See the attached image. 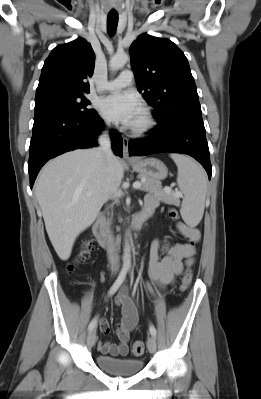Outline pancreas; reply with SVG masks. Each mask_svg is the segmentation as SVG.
I'll return each instance as SVG.
<instances>
[{
    "instance_id": "obj_1",
    "label": "pancreas",
    "mask_w": 261,
    "mask_h": 399,
    "mask_svg": "<svg viewBox=\"0 0 261 399\" xmlns=\"http://www.w3.org/2000/svg\"><path fill=\"white\" fill-rule=\"evenodd\" d=\"M139 177L145 180L144 182L143 181L141 182L142 184L141 190L154 193L164 202L172 201L175 198L173 194L167 193L166 190L162 188L160 181L143 175H140Z\"/></svg>"
}]
</instances>
